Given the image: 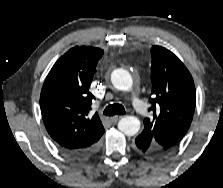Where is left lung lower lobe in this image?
I'll list each match as a JSON object with an SVG mask.
<instances>
[{"mask_svg": "<svg viewBox=\"0 0 223 188\" xmlns=\"http://www.w3.org/2000/svg\"><path fill=\"white\" fill-rule=\"evenodd\" d=\"M135 144L136 149L147 156L158 158L165 155L161 149L153 147L151 143L141 135L135 139Z\"/></svg>", "mask_w": 223, "mask_h": 188, "instance_id": "left-lung-lower-lobe-1", "label": "left lung lower lobe"}]
</instances>
